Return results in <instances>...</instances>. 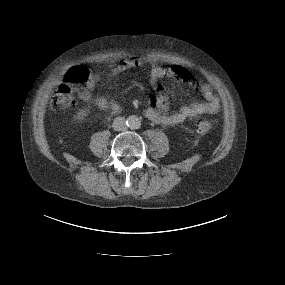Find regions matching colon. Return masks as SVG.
Returning <instances> with one entry per match:
<instances>
[{"instance_id":"obj_1","label":"colon","mask_w":285,"mask_h":285,"mask_svg":"<svg viewBox=\"0 0 285 285\" xmlns=\"http://www.w3.org/2000/svg\"><path fill=\"white\" fill-rule=\"evenodd\" d=\"M173 70L177 73L185 72L180 66ZM90 77L89 69L86 66H76L65 76L64 82L59 85L51 97V107L55 110L69 108L75 104L74 89L88 82ZM212 124L208 121H199L196 124V131L199 134H206L210 131Z\"/></svg>"}]
</instances>
